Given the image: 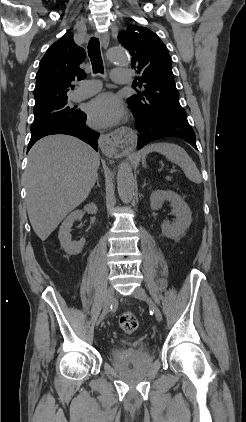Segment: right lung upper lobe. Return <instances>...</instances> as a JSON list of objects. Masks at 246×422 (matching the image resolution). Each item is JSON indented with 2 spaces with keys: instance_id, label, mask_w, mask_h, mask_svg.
<instances>
[{
  "instance_id": "obj_1",
  "label": "right lung upper lobe",
  "mask_w": 246,
  "mask_h": 422,
  "mask_svg": "<svg viewBox=\"0 0 246 422\" xmlns=\"http://www.w3.org/2000/svg\"><path fill=\"white\" fill-rule=\"evenodd\" d=\"M85 60V51L73 41L67 32L52 44L39 63L34 89V109L67 99L71 82L84 79L86 74L79 65Z\"/></svg>"
}]
</instances>
